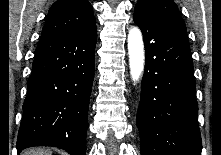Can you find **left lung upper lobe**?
<instances>
[{
	"instance_id": "left-lung-upper-lobe-1",
	"label": "left lung upper lobe",
	"mask_w": 221,
	"mask_h": 155,
	"mask_svg": "<svg viewBox=\"0 0 221 155\" xmlns=\"http://www.w3.org/2000/svg\"><path fill=\"white\" fill-rule=\"evenodd\" d=\"M135 8L143 9L162 22L186 30L185 23L173 0H138Z\"/></svg>"
}]
</instances>
